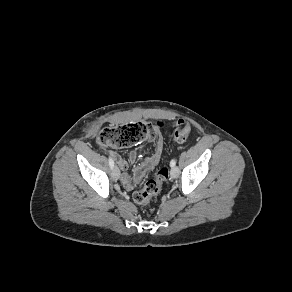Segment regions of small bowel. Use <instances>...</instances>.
<instances>
[{"mask_svg": "<svg viewBox=\"0 0 292 292\" xmlns=\"http://www.w3.org/2000/svg\"><path fill=\"white\" fill-rule=\"evenodd\" d=\"M154 144V149L151 155L146 157L143 161H141L133 170V175L130 176L127 172L128 162L122 156L118 155L115 152H111L112 157L115 159L118 167L121 170L120 180L123 186L127 190H132L134 187V183L139 182L148 172L153 170L158 163L160 162L162 151H163V140L158 136L155 139H152ZM139 158V152L137 149H133L129 153V160L131 162H136Z\"/></svg>", "mask_w": 292, "mask_h": 292, "instance_id": "obj_1", "label": "small bowel"}]
</instances>
